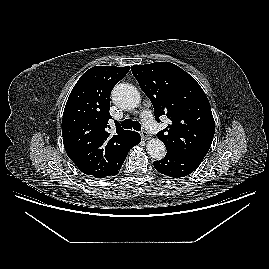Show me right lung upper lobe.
<instances>
[{"instance_id": "cb5924a9", "label": "right lung upper lobe", "mask_w": 269, "mask_h": 269, "mask_svg": "<svg viewBox=\"0 0 269 269\" xmlns=\"http://www.w3.org/2000/svg\"><path fill=\"white\" fill-rule=\"evenodd\" d=\"M130 67L95 66L73 87L62 118L64 148L81 172L95 178L116 175L123 164L122 147L133 131L116 124L108 133L111 119L110 93Z\"/></svg>"}]
</instances>
